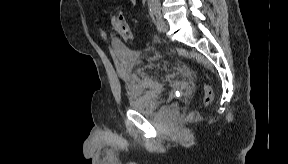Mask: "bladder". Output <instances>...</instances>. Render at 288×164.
Here are the masks:
<instances>
[{"label": "bladder", "instance_id": "31cf9c89", "mask_svg": "<svg viewBox=\"0 0 288 164\" xmlns=\"http://www.w3.org/2000/svg\"><path fill=\"white\" fill-rule=\"evenodd\" d=\"M111 48L119 65L131 70L138 62V56L118 39L111 40ZM160 98L151 87L136 88L129 98V108L142 114H152L159 106Z\"/></svg>", "mask_w": 288, "mask_h": 164}]
</instances>
